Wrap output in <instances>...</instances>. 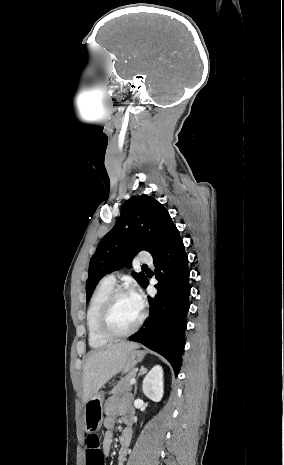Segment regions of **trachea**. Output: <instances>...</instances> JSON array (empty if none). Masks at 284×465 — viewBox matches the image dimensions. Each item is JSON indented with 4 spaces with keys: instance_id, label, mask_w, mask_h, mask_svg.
Returning a JSON list of instances; mask_svg holds the SVG:
<instances>
[{
    "instance_id": "obj_1",
    "label": "trachea",
    "mask_w": 284,
    "mask_h": 465,
    "mask_svg": "<svg viewBox=\"0 0 284 465\" xmlns=\"http://www.w3.org/2000/svg\"><path fill=\"white\" fill-rule=\"evenodd\" d=\"M142 269H143V270H149L148 267H147V265H142Z\"/></svg>"
}]
</instances>
